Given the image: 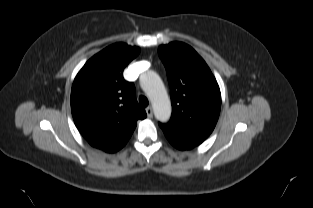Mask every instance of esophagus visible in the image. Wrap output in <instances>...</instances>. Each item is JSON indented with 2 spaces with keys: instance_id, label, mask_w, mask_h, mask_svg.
<instances>
[{
  "instance_id": "1",
  "label": "esophagus",
  "mask_w": 313,
  "mask_h": 208,
  "mask_svg": "<svg viewBox=\"0 0 313 208\" xmlns=\"http://www.w3.org/2000/svg\"><path fill=\"white\" fill-rule=\"evenodd\" d=\"M145 110H146L148 118H152L153 117V110H152V108L151 107H147Z\"/></svg>"
}]
</instances>
